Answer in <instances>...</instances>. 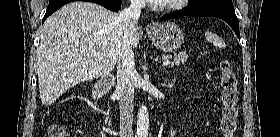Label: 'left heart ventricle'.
<instances>
[{
	"instance_id": "left-heart-ventricle-1",
	"label": "left heart ventricle",
	"mask_w": 280,
	"mask_h": 137,
	"mask_svg": "<svg viewBox=\"0 0 280 137\" xmlns=\"http://www.w3.org/2000/svg\"><path fill=\"white\" fill-rule=\"evenodd\" d=\"M165 3L167 2V3H170V2H172V0H165L164 1ZM166 28H168V27H170V26H165Z\"/></svg>"
}]
</instances>
